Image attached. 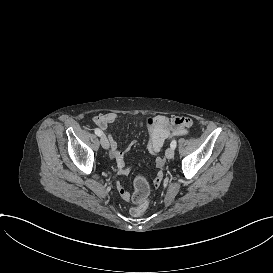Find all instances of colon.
I'll return each mask as SVG.
<instances>
[{
  "label": "colon",
  "mask_w": 273,
  "mask_h": 273,
  "mask_svg": "<svg viewBox=\"0 0 273 273\" xmlns=\"http://www.w3.org/2000/svg\"><path fill=\"white\" fill-rule=\"evenodd\" d=\"M146 120L149 125H154L156 122V120L151 116L147 117ZM168 120H170V118ZM135 186L137 189L134 193L133 200L138 207L133 209L132 214L134 217L139 218L146 214L150 208V204L147 199L148 185L144 178L139 177L135 181Z\"/></svg>",
  "instance_id": "5ec220e1"
}]
</instances>
